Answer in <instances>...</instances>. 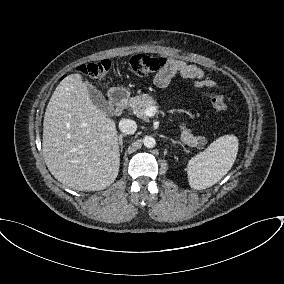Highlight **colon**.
Returning <instances> with one entry per match:
<instances>
[{
  "label": "colon",
  "instance_id": "colon-1",
  "mask_svg": "<svg viewBox=\"0 0 284 284\" xmlns=\"http://www.w3.org/2000/svg\"><path fill=\"white\" fill-rule=\"evenodd\" d=\"M166 63L167 60L163 57H153L147 54H137L130 58L129 68L136 75L145 76L163 68ZM110 68L111 62L105 59L82 65L79 67V70L90 78L100 80L108 75ZM206 95L209 98L211 105L217 111L221 113L227 111V105L222 96L213 91H208Z\"/></svg>",
  "mask_w": 284,
  "mask_h": 284
}]
</instances>
